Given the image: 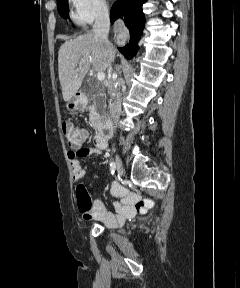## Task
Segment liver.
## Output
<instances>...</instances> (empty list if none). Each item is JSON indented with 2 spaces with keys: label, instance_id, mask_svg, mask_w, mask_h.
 <instances>
[{
  "label": "liver",
  "instance_id": "1",
  "mask_svg": "<svg viewBox=\"0 0 240 288\" xmlns=\"http://www.w3.org/2000/svg\"><path fill=\"white\" fill-rule=\"evenodd\" d=\"M113 46L105 48L92 32L66 41L58 53L59 80L64 101H70L78 92L85 75L92 69L104 72L108 61L115 58ZM84 60V64L80 65Z\"/></svg>",
  "mask_w": 240,
  "mask_h": 288
}]
</instances>
